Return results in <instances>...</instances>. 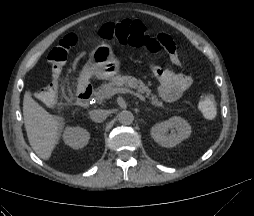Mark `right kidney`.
<instances>
[{
	"label": "right kidney",
	"instance_id": "ca27d5eb",
	"mask_svg": "<svg viewBox=\"0 0 254 216\" xmlns=\"http://www.w3.org/2000/svg\"><path fill=\"white\" fill-rule=\"evenodd\" d=\"M90 139L89 132L81 127H67L63 133L65 144L74 149L83 148Z\"/></svg>",
	"mask_w": 254,
	"mask_h": 216
}]
</instances>
